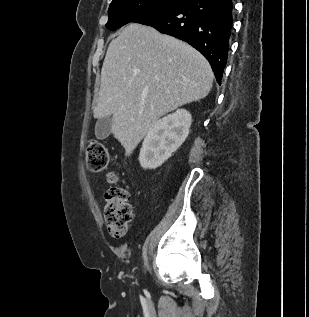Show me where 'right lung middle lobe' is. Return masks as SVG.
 Wrapping results in <instances>:
<instances>
[{
	"mask_svg": "<svg viewBox=\"0 0 309 317\" xmlns=\"http://www.w3.org/2000/svg\"><path fill=\"white\" fill-rule=\"evenodd\" d=\"M185 0H113L106 27L112 31L147 13L179 4Z\"/></svg>",
	"mask_w": 309,
	"mask_h": 317,
	"instance_id": "obj_1",
	"label": "right lung middle lobe"
}]
</instances>
